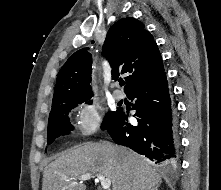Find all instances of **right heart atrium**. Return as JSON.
<instances>
[{
    "label": "right heart atrium",
    "mask_w": 221,
    "mask_h": 190,
    "mask_svg": "<svg viewBox=\"0 0 221 190\" xmlns=\"http://www.w3.org/2000/svg\"><path fill=\"white\" fill-rule=\"evenodd\" d=\"M101 126V108L93 100L78 103L74 111V127L81 135H91Z\"/></svg>",
    "instance_id": "d8ad5b80"
}]
</instances>
